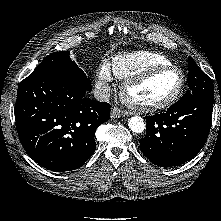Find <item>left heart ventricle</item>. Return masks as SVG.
<instances>
[{
    "mask_svg": "<svg viewBox=\"0 0 221 221\" xmlns=\"http://www.w3.org/2000/svg\"><path fill=\"white\" fill-rule=\"evenodd\" d=\"M181 76L177 71L158 73L129 91V98L137 103H156L170 97L178 88Z\"/></svg>",
    "mask_w": 221,
    "mask_h": 221,
    "instance_id": "obj_1",
    "label": "left heart ventricle"
}]
</instances>
